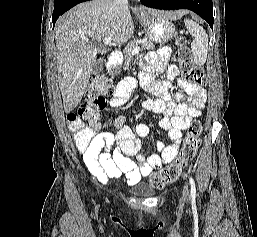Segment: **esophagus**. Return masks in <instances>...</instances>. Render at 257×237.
Listing matches in <instances>:
<instances>
[{
	"label": "esophagus",
	"instance_id": "1",
	"mask_svg": "<svg viewBox=\"0 0 257 237\" xmlns=\"http://www.w3.org/2000/svg\"><path fill=\"white\" fill-rule=\"evenodd\" d=\"M137 11H141V8H137Z\"/></svg>",
	"mask_w": 257,
	"mask_h": 237
}]
</instances>
